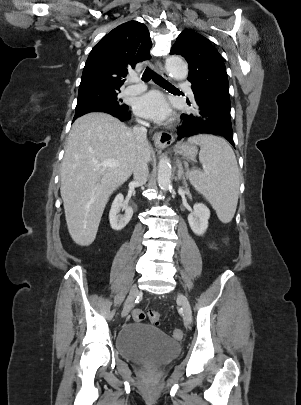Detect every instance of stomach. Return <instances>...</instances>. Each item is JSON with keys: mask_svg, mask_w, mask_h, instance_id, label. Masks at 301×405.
Here are the masks:
<instances>
[{"mask_svg": "<svg viewBox=\"0 0 301 405\" xmlns=\"http://www.w3.org/2000/svg\"><path fill=\"white\" fill-rule=\"evenodd\" d=\"M176 152L184 158L194 160L198 153V149L194 144L182 143L176 147Z\"/></svg>", "mask_w": 301, "mask_h": 405, "instance_id": "obj_1", "label": "stomach"}]
</instances>
